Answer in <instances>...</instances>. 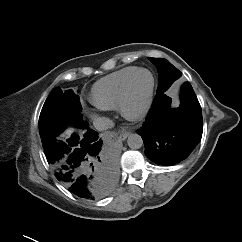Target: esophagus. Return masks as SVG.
<instances>
[{
	"instance_id": "1",
	"label": "esophagus",
	"mask_w": 242,
	"mask_h": 242,
	"mask_svg": "<svg viewBox=\"0 0 242 242\" xmlns=\"http://www.w3.org/2000/svg\"><path fill=\"white\" fill-rule=\"evenodd\" d=\"M129 134H130L129 131L123 129V130L120 132L119 139H120L121 141H124V140L129 136Z\"/></svg>"
}]
</instances>
